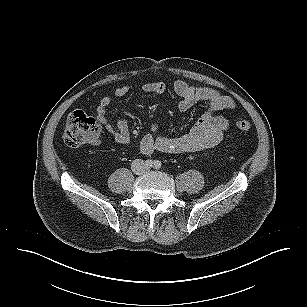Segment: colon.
Instances as JSON below:
<instances>
[{"instance_id": "1", "label": "colon", "mask_w": 307, "mask_h": 307, "mask_svg": "<svg viewBox=\"0 0 307 307\" xmlns=\"http://www.w3.org/2000/svg\"><path fill=\"white\" fill-rule=\"evenodd\" d=\"M235 125L241 131L251 129V123L245 119H237ZM100 132L101 126L97 118L82 111H74L67 117L64 141L69 147H78L96 142Z\"/></svg>"}]
</instances>
